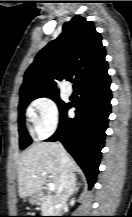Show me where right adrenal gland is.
I'll return each instance as SVG.
<instances>
[{
  "mask_svg": "<svg viewBox=\"0 0 132 217\" xmlns=\"http://www.w3.org/2000/svg\"><path fill=\"white\" fill-rule=\"evenodd\" d=\"M76 185H77L76 178H74L71 194L74 193V192H76L78 190V187H76Z\"/></svg>",
  "mask_w": 132,
  "mask_h": 217,
  "instance_id": "1",
  "label": "right adrenal gland"
}]
</instances>
